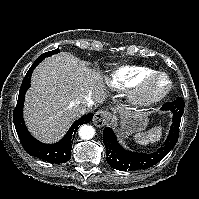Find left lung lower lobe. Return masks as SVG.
Masks as SVG:
<instances>
[{
    "mask_svg": "<svg viewBox=\"0 0 199 199\" xmlns=\"http://www.w3.org/2000/svg\"><path fill=\"white\" fill-rule=\"evenodd\" d=\"M164 110L173 114L172 125L165 143L154 153L146 154L127 151L118 143L113 130L106 127L103 131V141L106 147L108 164L120 171L145 170L161 161L176 145L179 136L181 117L184 112V101L181 97L163 105Z\"/></svg>",
    "mask_w": 199,
    "mask_h": 199,
    "instance_id": "left-lung-lower-lobe-1",
    "label": "left lung lower lobe"
}]
</instances>
